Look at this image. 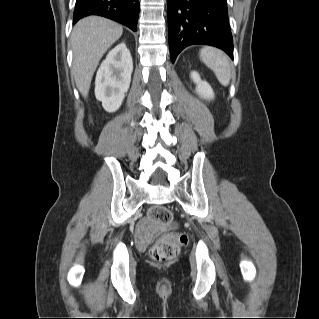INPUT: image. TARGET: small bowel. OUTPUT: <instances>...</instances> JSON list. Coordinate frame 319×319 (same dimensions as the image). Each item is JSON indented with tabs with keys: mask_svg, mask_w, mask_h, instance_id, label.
<instances>
[{
	"mask_svg": "<svg viewBox=\"0 0 319 319\" xmlns=\"http://www.w3.org/2000/svg\"><path fill=\"white\" fill-rule=\"evenodd\" d=\"M160 230L157 225L151 223L149 220L141 219L136 227L137 239L139 241H148Z\"/></svg>",
	"mask_w": 319,
	"mask_h": 319,
	"instance_id": "1",
	"label": "small bowel"
}]
</instances>
